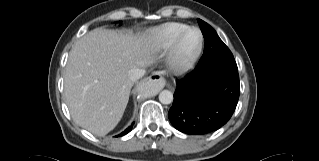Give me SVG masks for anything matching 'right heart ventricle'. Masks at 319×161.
<instances>
[{
	"instance_id": "e07e8e85",
	"label": "right heart ventricle",
	"mask_w": 319,
	"mask_h": 161,
	"mask_svg": "<svg viewBox=\"0 0 319 161\" xmlns=\"http://www.w3.org/2000/svg\"><path fill=\"white\" fill-rule=\"evenodd\" d=\"M188 25L181 22H167L150 29L146 38L157 49H167L172 44L174 38Z\"/></svg>"
}]
</instances>
